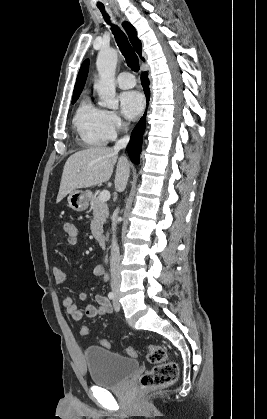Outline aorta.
I'll return each mask as SVG.
<instances>
[{
	"instance_id": "762f6f07",
	"label": "aorta",
	"mask_w": 267,
	"mask_h": 419,
	"mask_svg": "<svg viewBox=\"0 0 267 419\" xmlns=\"http://www.w3.org/2000/svg\"><path fill=\"white\" fill-rule=\"evenodd\" d=\"M118 54L115 49H103L98 53L96 66L99 80L95 84L102 107L109 109L118 108V99L115 89V71Z\"/></svg>"
}]
</instances>
